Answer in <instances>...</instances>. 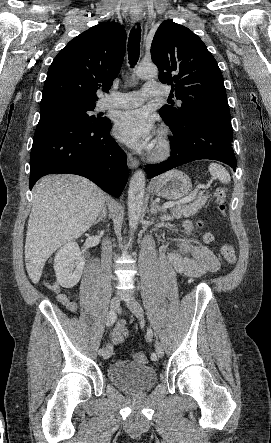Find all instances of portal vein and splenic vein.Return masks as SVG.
Returning a JSON list of instances; mask_svg holds the SVG:
<instances>
[{
    "instance_id": "18ae733b",
    "label": "portal vein and splenic vein",
    "mask_w": 271,
    "mask_h": 443,
    "mask_svg": "<svg viewBox=\"0 0 271 443\" xmlns=\"http://www.w3.org/2000/svg\"><path fill=\"white\" fill-rule=\"evenodd\" d=\"M195 198V191H189L187 198H182V200H178V202H166V204H163L162 208H173V206H177V204H187V202H192Z\"/></svg>"
}]
</instances>
